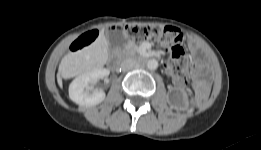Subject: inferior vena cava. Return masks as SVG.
Instances as JSON below:
<instances>
[{"mask_svg":"<svg viewBox=\"0 0 261 150\" xmlns=\"http://www.w3.org/2000/svg\"><path fill=\"white\" fill-rule=\"evenodd\" d=\"M137 67H139V64L133 58H127L124 61H122V63H121V68L123 71H129V70L135 69Z\"/></svg>","mask_w":261,"mask_h":150,"instance_id":"1","label":"inferior vena cava"}]
</instances>
